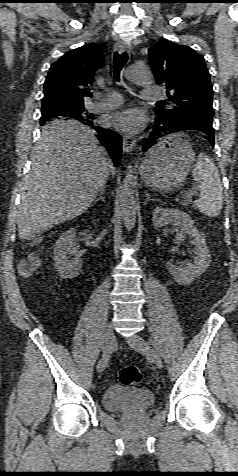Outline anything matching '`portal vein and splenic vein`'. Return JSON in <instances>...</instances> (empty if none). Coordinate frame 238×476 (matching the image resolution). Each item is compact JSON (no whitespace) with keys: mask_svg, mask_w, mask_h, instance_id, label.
Wrapping results in <instances>:
<instances>
[{"mask_svg":"<svg viewBox=\"0 0 238 476\" xmlns=\"http://www.w3.org/2000/svg\"><path fill=\"white\" fill-rule=\"evenodd\" d=\"M195 195H196V191H193V192H190V193H184L182 197L191 199Z\"/></svg>","mask_w":238,"mask_h":476,"instance_id":"1","label":"portal vein and splenic vein"}]
</instances>
